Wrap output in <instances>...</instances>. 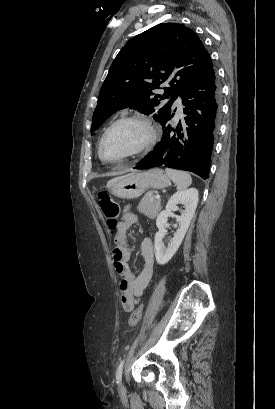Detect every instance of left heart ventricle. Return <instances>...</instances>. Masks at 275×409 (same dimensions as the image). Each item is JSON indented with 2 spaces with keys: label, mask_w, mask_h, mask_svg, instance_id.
<instances>
[{
  "label": "left heart ventricle",
  "mask_w": 275,
  "mask_h": 409,
  "mask_svg": "<svg viewBox=\"0 0 275 409\" xmlns=\"http://www.w3.org/2000/svg\"><path fill=\"white\" fill-rule=\"evenodd\" d=\"M142 129L135 124L123 123L116 126L103 145L105 157H120L134 148L141 140Z\"/></svg>",
  "instance_id": "obj_1"
}]
</instances>
